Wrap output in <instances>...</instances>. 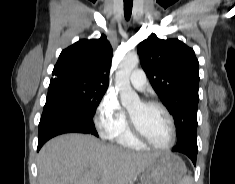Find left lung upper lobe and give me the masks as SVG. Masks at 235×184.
Segmentation results:
<instances>
[{
    "label": "left lung upper lobe",
    "instance_id": "5c2ea615",
    "mask_svg": "<svg viewBox=\"0 0 235 184\" xmlns=\"http://www.w3.org/2000/svg\"><path fill=\"white\" fill-rule=\"evenodd\" d=\"M141 66L162 103L173 115L177 145L197 147L199 71L194 50L178 39L153 33L138 45Z\"/></svg>",
    "mask_w": 235,
    "mask_h": 184
}]
</instances>
